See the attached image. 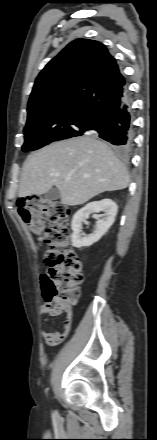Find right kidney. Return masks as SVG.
<instances>
[{
  "instance_id": "ca27d5eb",
  "label": "right kidney",
  "mask_w": 157,
  "mask_h": 440,
  "mask_svg": "<svg viewBox=\"0 0 157 440\" xmlns=\"http://www.w3.org/2000/svg\"><path fill=\"white\" fill-rule=\"evenodd\" d=\"M118 207L111 199H102L100 201H93L78 210L72 219L71 228L73 233L71 235L72 245L76 248L88 247L96 243L108 231L115 221ZM104 212L99 215L96 221L95 231L92 234L81 236V222L88 218L92 213Z\"/></svg>"
}]
</instances>
